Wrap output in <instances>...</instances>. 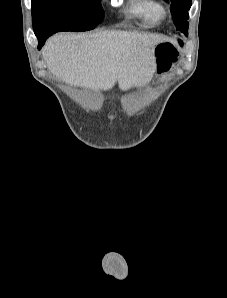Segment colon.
Returning a JSON list of instances; mask_svg holds the SVG:
<instances>
[{"instance_id":"colon-1","label":"colon","mask_w":227,"mask_h":298,"mask_svg":"<svg viewBox=\"0 0 227 298\" xmlns=\"http://www.w3.org/2000/svg\"><path fill=\"white\" fill-rule=\"evenodd\" d=\"M181 43L162 42L155 49L156 67L159 73H164L178 60Z\"/></svg>"}]
</instances>
